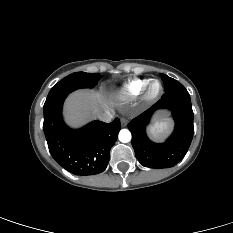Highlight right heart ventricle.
<instances>
[{
    "label": "right heart ventricle",
    "instance_id": "obj_1",
    "mask_svg": "<svg viewBox=\"0 0 233 233\" xmlns=\"http://www.w3.org/2000/svg\"><path fill=\"white\" fill-rule=\"evenodd\" d=\"M149 79H135L129 82L121 91L122 96L135 98L137 97L145 88Z\"/></svg>",
    "mask_w": 233,
    "mask_h": 233
}]
</instances>
